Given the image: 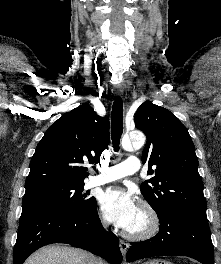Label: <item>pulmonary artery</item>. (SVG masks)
Returning <instances> with one entry per match:
<instances>
[{"instance_id":"obj_1","label":"pulmonary artery","mask_w":221,"mask_h":264,"mask_svg":"<svg viewBox=\"0 0 221 264\" xmlns=\"http://www.w3.org/2000/svg\"><path fill=\"white\" fill-rule=\"evenodd\" d=\"M140 169V161L136 157H129L125 161L113 166H108L101 169V173L95 177H92L88 182V187H94L102 185L108 182H112L123 177L132 175L138 172Z\"/></svg>"}]
</instances>
